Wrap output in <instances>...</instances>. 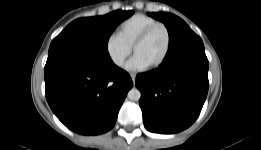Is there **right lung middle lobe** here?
<instances>
[{"label": "right lung middle lobe", "instance_id": "dd1d6c3e", "mask_svg": "<svg viewBox=\"0 0 261 150\" xmlns=\"http://www.w3.org/2000/svg\"><path fill=\"white\" fill-rule=\"evenodd\" d=\"M132 14L133 11L117 10L104 16L73 21L52 41L48 58L57 55L110 58L108 39L115 27Z\"/></svg>", "mask_w": 261, "mask_h": 150}]
</instances>
